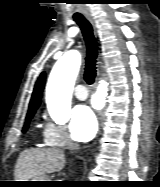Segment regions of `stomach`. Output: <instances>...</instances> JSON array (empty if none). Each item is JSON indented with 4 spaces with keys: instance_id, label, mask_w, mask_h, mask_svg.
Instances as JSON below:
<instances>
[{
    "instance_id": "1",
    "label": "stomach",
    "mask_w": 160,
    "mask_h": 187,
    "mask_svg": "<svg viewBox=\"0 0 160 187\" xmlns=\"http://www.w3.org/2000/svg\"><path fill=\"white\" fill-rule=\"evenodd\" d=\"M29 181H51V180H48V178L46 176H43V177L34 178L32 180H29ZM25 186L46 187V186H50V183L49 182H30V183L25 184Z\"/></svg>"
}]
</instances>
